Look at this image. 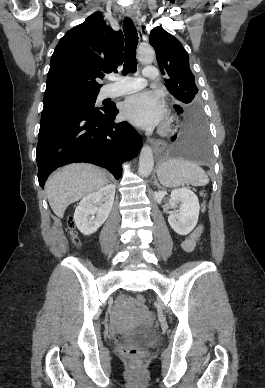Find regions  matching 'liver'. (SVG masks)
<instances>
[{
	"label": "liver",
	"mask_w": 265,
	"mask_h": 388,
	"mask_svg": "<svg viewBox=\"0 0 265 388\" xmlns=\"http://www.w3.org/2000/svg\"><path fill=\"white\" fill-rule=\"evenodd\" d=\"M108 184L106 174L91 164H70L48 178L45 190L50 208L57 218H63L70 204L101 190Z\"/></svg>",
	"instance_id": "1"
}]
</instances>
